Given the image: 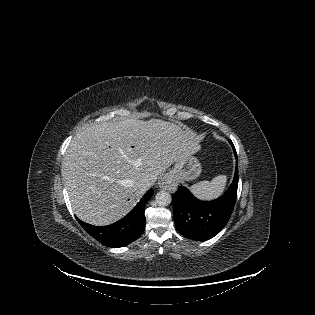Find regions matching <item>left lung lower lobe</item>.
<instances>
[{
    "label": "left lung lower lobe",
    "mask_w": 315,
    "mask_h": 315,
    "mask_svg": "<svg viewBox=\"0 0 315 315\" xmlns=\"http://www.w3.org/2000/svg\"><path fill=\"white\" fill-rule=\"evenodd\" d=\"M237 159L236 151L234 150ZM238 162L232 184L218 199L204 202L190 191L179 186L173 195L174 220L177 230L186 238L196 241L209 240L227 224L237 197Z\"/></svg>",
    "instance_id": "0a47b994"
}]
</instances>
